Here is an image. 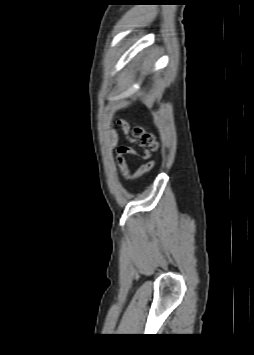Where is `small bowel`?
Returning a JSON list of instances; mask_svg holds the SVG:
<instances>
[{"label": "small bowel", "instance_id": "obj_1", "mask_svg": "<svg viewBox=\"0 0 254 355\" xmlns=\"http://www.w3.org/2000/svg\"><path fill=\"white\" fill-rule=\"evenodd\" d=\"M119 127L128 139L134 141V139L129 134V126L125 122L119 123ZM110 138L112 142V147L116 152V161L119 165L120 173L126 181L133 182L154 168L155 162L154 160L150 159L151 155L148 151L139 153L137 150H135L129 145H118V133L115 129H112L110 131ZM125 155H134L146 160V162L140 165L139 168L132 173L127 167Z\"/></svg>", "mask_w": 254, "mask_h": 355}]
</instances>
